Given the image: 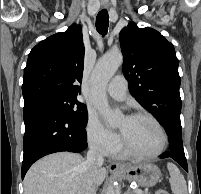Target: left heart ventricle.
Here are the masks:
<instances>
[{
  "label": "left heart ventricle",
  "mask_w": 201,
  "mask_h": 194,
  "mask_svg": "<svg viewBox=\"0 0 201 194\" xmlns=\"http://www.w3.org/2000/svg\"><path fill=\"white\" fill-rule=\"evenodd\" d=\"M119 129L129 146L138 152L151 153L161 145L162 138L158 128L147 118H124Z\"/></svg>",
  "instance_id": "obj_1"
}]
</instances>
